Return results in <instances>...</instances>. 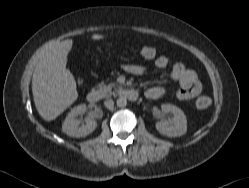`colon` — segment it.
Segmentation results:
<instances>
[{
    "label": "colon",
    "mask_w": 249,
    "mask_h": 188,
    "mask_svg": "<svg viewBox=\"0 0 249 188\" xmlns=\"http://www.w3.org/2000/svg\"><path fill=\"white\" fill-rule=\"evenodd\" d=\"M134 51L139 53L143 58L150 59L156 55V48L153 46H144L142 48H134ZM211 99L208 96H201L196 101L198 109H206L210 106Z\"/></svg>",
    "instance_id": "colon-1"
}]
</instances>
